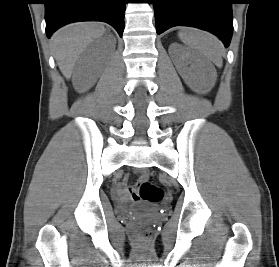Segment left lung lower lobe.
I'll list each match as a JSON object with an SVG mask.
<instances>
[{
	"instance_id": "0a47b994",
	"label": "left lung lower lobe",
	"mask_w": 279,
	"mask_h": 267,
	"mask_svg": "<svg viewBox=\"0 0 279 267\" xmlns=\"http://www.w3.org/2000/svg\"><path fill=\"white\" fill-rule=\"evenodd\" d=\"M156 32L193 26L217 35L228 47L233 32V0H153Z\"/></svg>"
}]
</instances>
